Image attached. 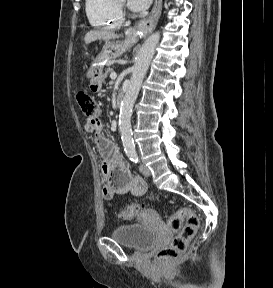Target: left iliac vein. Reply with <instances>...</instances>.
I'll return each instance as SVG.
<instances>
[{"instance_id": "obj_1", "label": "left iliac vein", "mask_w": 273, "mask_h": 288, "mask_svg": "<svg viewBox=\"0 0 273 288\" xmlns=\"http://www.w3.org/2000/svg\"><path fill=\"white\" fill-rule=\"evenodd\" d=\"M139 169L144 176L149 177L151 175L150 169L144 164H140Z\"/></svg>"}]
</instances>
